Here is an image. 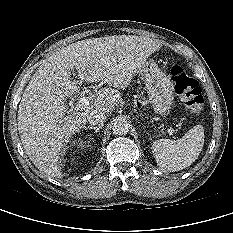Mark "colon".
Returning a JSON list of instances; mask_svg holds the SVG:
<instances>
[{
	"label": "colon",
	"instance_id": "colon-1",
	"mask_svg": "<svg viewBox=\"0 0 233 233\" xmlns=\"http://www.w3.org/2000/svg\"><path fill=\"white\" fill-rule=\"evenodd\" d=\"M170 75L175 92L185 102L190 112L199 114L204 106V97L199 83L179 65L171 67Z\"/></svg>",
	"mask_w": 233,
	"mask_h": 233
}]
</instances>
